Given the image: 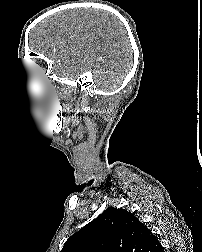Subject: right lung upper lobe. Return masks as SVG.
<instances>
[{
	"label": "right lung upper lobe",
	"mask_w": 202,
	"mask_h": 252,
	"mask_svg": "<svg viewBox=\"0 0 202 252\" xmlns=\"http://www.w3.org/2000/svg\"><path fill=\"white\" fill-rule=\"evenodd\" d=\"M149 228L124 209L110 207L66 241L61 252H161Z\"/></svg>",
	"instance_id": "1"
}]
</instances>
